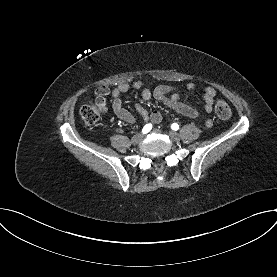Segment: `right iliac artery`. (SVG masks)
Instances as JSON below:
<instances>
[{
    "instance_id": "1",
    "label": "right iliac artery",
    "mask_w": 277,
    "mask_h": 277,
    "mask_svg": "<svg viewBox=\"0 0 277 277\" xmlns=\"http://www.w3.org/2000/svg\"><path fill=\"white\" fill-rule=\"evenodd\" d=\"M151 129H152V125L151 124H146L143 127L142 132L145 134V133H148Z\"/></svg>"
}]
</instances>
